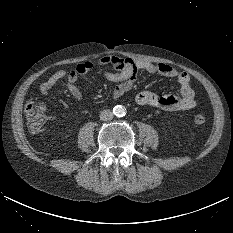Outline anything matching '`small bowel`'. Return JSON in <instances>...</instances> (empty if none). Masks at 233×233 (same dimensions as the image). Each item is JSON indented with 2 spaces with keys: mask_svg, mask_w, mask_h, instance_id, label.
<instances>
[{
  "mask_svg": "<svg viewBox=\"0 0 233 233\" xmlns=\"http://www.w3.org/2000/svg\"><path fill=\"white\" fill-rule=\"evenodd\" d=\"M101 66H110L113 69L103 73L107 81L116 84L110 94L113 100L119 99L129 92L134 86L137 73L145 71L175 79L179 89L177 94L168 95H157L149 91H142L135 97L138 105L155 107L163 111H186L195 106V93L191 87L190 75L187 72L179 71L165 63H152L147 60L122 58L114 55L103 56L96 61L81 62L70 71H57L40 85L39 91L41 95H46L60 80L66 78L69 93L75 100L81 102L83 95L77 86L78 78Z\"/></svg>",
  "mask_w": 233,
  "mask_h": 233,
  "instance_id": "obj_1",
  "label": "small bowel"
}]
</instances>
